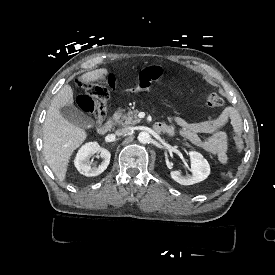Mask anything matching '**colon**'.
Masks as SVG:
<instances>
[{
    "mask_svg": "<svg viewBox=\"0 0 275 275\" xmlns=\"http://www.w3.org/2000/svg\"><path fill=\"white\" fill-rule=\"evenodd\" d=\"M93 80L94 81H88L85 77H80L77 80V85L80 88H84L86 92H90V94L79 95L76 98V103L83 111L91 113L96 122H100L105 117L109 96H107L106 91L98 89L96 81L100 80V75L94 74ZM105 89L112 90L113 84L106 83ZM206 102L212 107H222L224 105V98L219 94L210 93L206 98ZM236 144L238 149L241 150L243 147L242 142L237 140ZM232 175L230 170L223 172V177L225 178H231Z\"/></svg>",
    "mask_w": 275,
    "mask_h": 275,
    "instance_id": "obj_1",
    "label": "colon"
}]
</instances>
